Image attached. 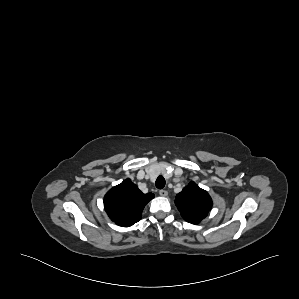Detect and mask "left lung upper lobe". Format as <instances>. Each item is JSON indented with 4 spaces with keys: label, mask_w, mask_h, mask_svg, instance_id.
I'll return each mask as SVG.
<instances>
[{
    "label": "left lung upper lobe",
    "mask_w": 299,
    "mask_h": 299,
    "mask_svg": "<svg viewBox=\"0 0 299 299\" xmlns=\"http://www.w3.org/2000/svg\"><path fill=\"white\" fill-rule=\"evenodd\" d=\"M175 204L183 219L192 224H198L212 208L209 194L194 182L177 194Z\"/></svg>",
    "instance_id": "obj_1"
}]
</instances>
